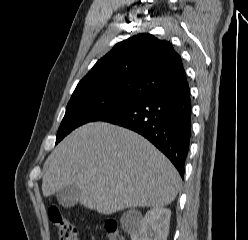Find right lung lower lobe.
<instances>
[{
  "instance_id": "obj_1",
  "label": "right lung lower lobe",
  "mask_w": 248,
  "mask_h": 240,
  "mask_svg": "<svg viewBox=\"0 0 248 240\" xmlns=\"http://www.w3.org/2000/svg\"><path fill=\"white\" fill-rule=\"evenodd\" d=\"M191 97L187 80L141 97L101 121L131 129L153 143L184 176L191 137Z\"/></svg>"
}]
</instances>
